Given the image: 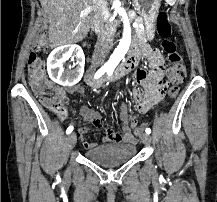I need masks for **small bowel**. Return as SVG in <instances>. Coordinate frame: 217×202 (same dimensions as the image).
Here are the masks:
<instances>
[{
	"instance_id": "small-bowel-1",
	"label": "small bowel",
	"mask_w": 217,
	"mask_h": 202,
	"mask_svg": "<svg viewBox=\"0 0 217 202\" xmlns=\"http://www.w3.org/2000/svg\"><path fill=\"white\" fill-rule=\"evenodd\" d=\"M137 48L139 53L145 54L150 57V63L152 69L149 71L145 69L136 70L132 76L131 81L136 84H143L147 88V95H163L164 88L163 85L159 84L157 86V81L159 80L158 74L161 72L163 65V60L158 51L154 50L149 44L137 42ZM122 83V80L119 79L116 82V86H119ZM72 91L82 93L83 88L81 86H76L72 88ZM58 95H63L60 91ZM132 97L135 103V108L139 113H146L149 109L148 106H152V101H144L140 93L136 90L132 92ZM65 102L61 100V103ZM78 113L86 120L91 122L96 127H103L101 122V113L87 105H83L79 108ZM70 115L68 108H61L58 112L59 119L64 120ZM119 117L122 122L121 131L117 132L113 129L106 127L104 128V136L102 141L104 143H114L121 145H133L137 142V137L143 133V131L132 132V126H137V118L133 116L129 118V105L127 103H122L119 108ZM80 137L83 139V135L87 132L86 128L80 129ZM84 147L90 149L94 147V144L84 141Z\"/></svg>"
}]
</instances>
